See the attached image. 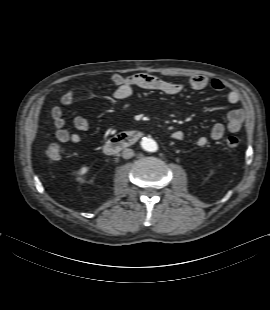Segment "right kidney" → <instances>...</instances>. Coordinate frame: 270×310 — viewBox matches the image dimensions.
<instances>
[{
	"mask_svg": "<svg viewBox=\"0 0 270 310\" xmlns=\"http://www.w3.org/2000/svg\"><path fill=\"white\" fill-rule=\"evenodd\" d=\"M88 170H89V168L88 167H82L81 169H80V171H79V177L77 178V181H82L83 180V178H82V176L84 175V174H86L87 172H88Z\"/></svg>",
	"mask_w": 270,
	"mask_h": 310,
	"instance_id": "right-kidney-1",
	"label": "right kidney"
}]
</instances>
